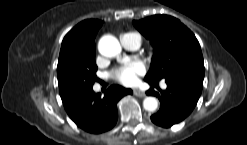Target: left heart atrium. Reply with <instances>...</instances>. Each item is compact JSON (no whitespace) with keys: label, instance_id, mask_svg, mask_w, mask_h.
<instances>
[{"label":"left heart atrium","instance_id":"left-heart-atrium-1","mask_svg":"<svg viewBox=\"0 0 247 145\" xmlns=\"http://www.w3.org/2000/svg\"><path fill=\"white\" fill-rule=\"evenodd\" d=\"M142 70L138 65L130 64L118 68L113 72V78L126 86L134 85L141 75Z\"/></svg>","mask_w":247,"mask_h":145}]
</instances>
